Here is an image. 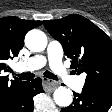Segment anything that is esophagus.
<instances>
[{
	"mask_svg": "<svg viewBox=\"0 0 112 112\" xmlns=\"http://www.w3.org/2000/svg\"><path fill=\"white\" fill-rule=\"evenodd\" d=\"M43 84H44L45 90L48 92L54 91L59 85L58 82L53 81L51 79H47V78H43Z\"/></svg>",
	"mask_w": 112,
	"mask_h": 112,
	"instance_id": "1",
	"label": "esophagus"
}]
</instances>
